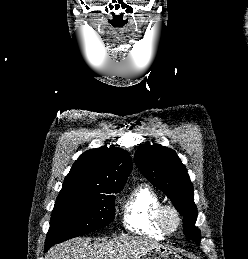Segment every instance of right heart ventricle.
Segmentation results:
<instances>
[{
	"mask_svg": "<svg viewBox=\"0 0 248 259\" xmlns=\"http://www.w3.org/2000/svg\"><path fill=\"white\" fill-rule=\"evenodd\" d=\"M163 201L149 185L136 186L123 206V223L131 232L157 239L166 233L158 222V212Z\"/></svg>",
	"mask_w": 248,
	"mask_h": 259,
	"instance_id": "e07e8e85",
	"label": "right heart ventricle"
}]
</instances>
